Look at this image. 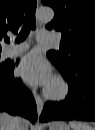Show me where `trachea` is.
<instances>
[{
    "instance_id": "3493384b",
    "label": "trachea",
    "mask_w": 95,
    "mask_h": 130,
    "mask_svg": "<svg viewBox=\"0 0 95 130\" xmlns=\"http://www.w3.org/2000/svg\"><path fill=\"white\" fill-rule=\"evenodd\" d=\"M36 7H37V0L28 1L25 12L24 24L21 32L17 36L16 42L24 41L27 38L30 31L36 29V22H35Z\"/></svg>"
}]
</instances>
